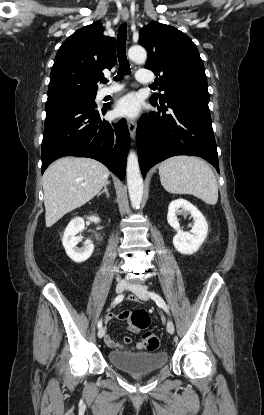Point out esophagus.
Wrapping results in <instances>:
<instances>
[{
  "label": "esophagus",
  "instance_id": "esophagus-1",
  "mask_svg": "<svg viewBox=\"0 0 264 415\" xmlns=\"http://www.w3.org/2000/svg\"><path fill=\"white\" fill-rule=\"evenodd\" d=\"M128 18H129V12L128 11H123L122 12V19L124 21H127ZM136 128H137L136 121L134 119H129L128 120V129H129L130 137H131L132 140L135 139Z\"/></svg>",
  "mask_w": 264,
  "mask_h": 415
}]
</instances>
